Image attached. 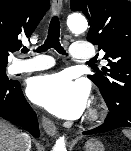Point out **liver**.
Masks as SVG:
<instances>
[{"mask_svg":"<svg viewBox=\"0 0 131 151\" xmlns=\"http://www.w3.org/2000/svg\"><path fill=\"white\" fill-rule=\"evenodd\" d=\"M20 134L14 126L0 119V151H19Z\"/></svg>","mask_w":131,"mask_h":151,"instance_id":"obj_1","label":"liver"}]
</instances>
